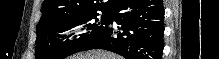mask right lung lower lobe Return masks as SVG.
Instances as JSON below:
<instances>
[{
    "instance_id": "98d812e1",
    "label": "right lung lower lobe",
    "mask_w": 219,
    "mask_h": 59,
    "mask_svg": "<svg viewBox=\"0 0 219 59\" xmlns=\"http://www.w3.org/2000/svg\"><path fill=\"white\" fill-rule=\"evenodd\" d=\"M108 28L81 51L105 49L126 59H161L164 35L162 0H115Z\"/></svg>"
}]
</instances>
